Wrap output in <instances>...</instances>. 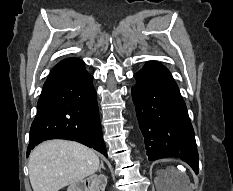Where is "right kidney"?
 Listing matches in <instances>:
<instances>
[{"label": "right kidney", "instance_id": "right-kidney-1", "mask_svg": "<svg viewBox=\"0 0 233 191\" xmlns=\"http://www.w3.org/2000/svg\"><path fill=\"white\" fill-rule=\"evenodd\" d=\"M87 181V186L86 180L81 181V183H83L85 191H104L107 184V178L103 175L97 176L96 174H94L87 178ZM67 191H83V189L79 184H73L68 187Z\"/></svg>", "mask_w": 233, "mask_h": 191}]
</instances>
